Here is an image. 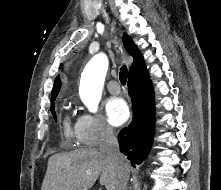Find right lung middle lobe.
<instances>
[{
	"instance_id": "1",
	"label": "right lung middle lobe",
	"mask_w": 221,
	"mask_h": 190,
	"mask_svg": "<svg viewBox=\"0 0 221 190\" xmlns=\"http://www.w3.org/2000/svg\"><path fill=\"white\" fill-rule=\"evenodd\" d=\"M51 112H52L53 117L55 118V120H57L56 119V114H55V109H54V101L51 102Z\"/></svg>"
}]
</instances>
